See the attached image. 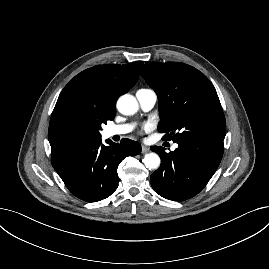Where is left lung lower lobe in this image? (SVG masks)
I'll return each instance as SVG.
<instances>
[{"instance_id": "obj_1", "label": "left lung lower lobe", "mask_w": 269, "mask_h": 269, "mask_svg": "<svg viewBox=\"0 0 269 269\" xmlns=\"http://www.w3.org/2000/svg\"><path fill=\"white\" fill-rule=\"evenodd\" d=\"M178 148L166 153L163 147L151 150L161 157V166L150 177L160 196L183 201L198 194L211 179L223 156V141L188 139L176 141Z\"/></svg>"}]
</instances>
